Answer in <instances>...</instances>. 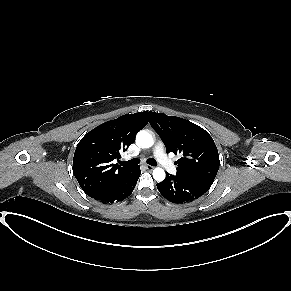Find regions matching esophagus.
Masks as SVG:
<instances>
[{
	"mask_svg": "<svg viewBox=\"0 0 291 291\" xmlns=\"http://www.w3.org/2000/svg\"><path fill=\"white\" fill-rule=\"evenodd\" d=\"M147 170H149V171H151V170H153V166H151V165H145L144 166Z\"/></svg>",
	"mask_w": 291,
	"mask_h": 291,
	"instance_id": "esophagus-1",
	"label": "esophagus"
}]
</instances>
